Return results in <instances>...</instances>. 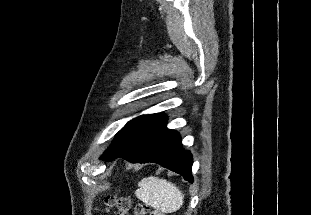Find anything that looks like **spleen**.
Instances as JSON below:
<instances>
[{
  "instance_id": "1",
  "label": "spleen",
  "mask_w": 311,
  "mask_h": 215,
  "mask_svg": "<svg viewBox=\"0 0 311 215\" xmlns=\"http://www.w3.org/2000/svg\"><path fill=\"white\" fill-rule=\"evenodd\" d=\"M138 186L135 192L137 198L162 213L176 212L183 205L184 194L165 179L149 176L143 178Z\"/></svg>"
}]
</instances>
